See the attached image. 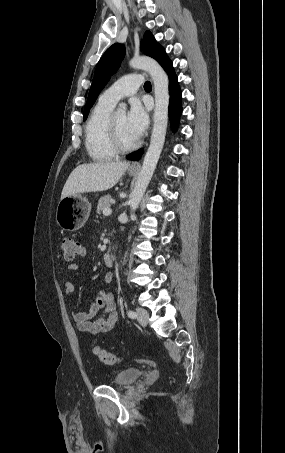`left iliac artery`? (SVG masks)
Listing matches in <instances>:
<instances>
[{
    "instance_id": "1",
    "label": "left iliac artery",
    "mask_w": 285,
    "mask_h": 453,
    "mask_svg": "<svg viewBox=\"0 0 285 453\" xmlns=\"http://www.w3.org/2000/svg\"><path fill=\"white\" fill-rule=\"evenodd\" d=\"M127 314H128V316H129L130 318H132V319H134V318H136V317H137V314H136V313H135L134 311H131V310H130V311H128V313H127Z\"/></svg>"
}]
</instances>
